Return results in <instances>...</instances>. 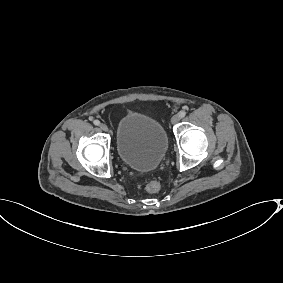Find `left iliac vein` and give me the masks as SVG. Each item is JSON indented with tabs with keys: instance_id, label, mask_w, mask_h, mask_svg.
Returning a JSON list of instances; mask_svg holds the SVG:
<instances>
[{
	"instance_id": "4c4485c4",
	"label": "left iliac vein",
	"mask_w": 283,
	"mask_h": 283,
	"mask_svg": "<svg viewBox=\"0 0 283 283\" xmlns=\"http://www.w3.org/2000/svg\"><path fill=\"white\" fill-rule=\"evenodd\" d=\"M180 121V116L178 114L174 115L172 118H171V123L172 124H176Z\"/></svg>"
}]
</instances>
